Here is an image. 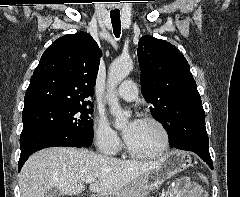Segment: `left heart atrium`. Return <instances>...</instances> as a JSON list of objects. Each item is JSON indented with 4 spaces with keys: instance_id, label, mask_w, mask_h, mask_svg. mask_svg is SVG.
<instances>
[{
    "instance_id": "obj_1",
    "label": "left heart atrium",
    "mask_w": 240,
    "mask_h": 197,
    "mask_svg": "<svg viewBox=\"0 0 240 197\" xmlns=\"http://www.w3.org/2000/svg\"><path fill=\"white\" fill-rule=\"evenodd\" d=\"M140 121L139 119H133L129 124L128 126L126 127V129L124 130L123 132V136H124V139L127 141H129L134 133L136 132L139 124H140Z\"/></svg>"
}]
</instances>
